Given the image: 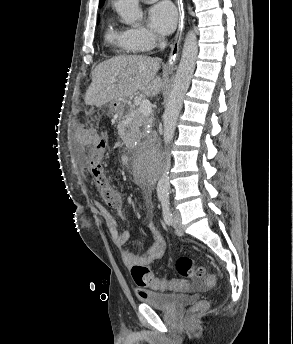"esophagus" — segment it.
<instances>
[{
    "label": "esophagus",
    "mask_w": 293,
    "mask_h": 344,
    "mask_svg": "<svg viewBox=\"0 0 293 344\" xmlns=\"http://www.w3.org/2000/svg\"><path fill=\"white\" fill-rule=\"evenodd\" d=\"M176 5L178 9V29L175 36V40L171 46V52H170L168 63H167L169 66L175 64L179 55V42L181 38V29H182V24H183V19H184V9H183L182 0H176Z\"/></svg>",
    "instance_id": "esophagus-1"
}]
</instances>
